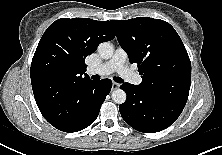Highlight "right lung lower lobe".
I'll return each mask as SVG.
<instances>
[{
    "label": "right lung lower lobe",
    "mask_w": 222,
    "mask_h": 155,
    "mask_svg": "<svg viewBox=\"0 0 222 155\" xmlns=\"http://www.w3.org/2000/svg\"><path fill=\"white\" fill-rule=\"evenodd\" d=\"M111 87L109 79H89L62 90L46 85L33 89V93L43 117L58 130L71 133L96 120Z\"/></svg>",
    "instance_id": "1"
}]
</instances>
